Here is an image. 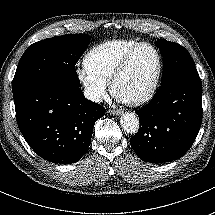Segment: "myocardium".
Listing matches in <instances>:
<instances>
[{
    "instance_id": "myocardium-1",
    "label": "myocardium",
    "mask_w": 215,
    "mask_h": 215,
    "mask_svg": "<svg viewBox=\"0 0 215 215\" xmlns=\"http://www.w3.org/2000/svg\"><path fill=\"white\" fill-rule=\"evenodd\" d=\"M143 46H149L154 50L156 57H157L156 70H155L154 74L152 75V77L150 78L146 88L138 97L131 99V100H120L115 95V86H116L117 82L119 81V79L126 72L128 66L130 64V61H131L132 57L134 56V54L136 53V51ZM161 73H162V57H161V54H160V51L158 50V48L150 42H139L126 52L124 57L119 62L117 68L115 69V71L110 79L111 95L127 106L136 107V106L143 105L152 97L153 93L155 92V89L158 85Z\"/></svg>"
}]
</instances>
